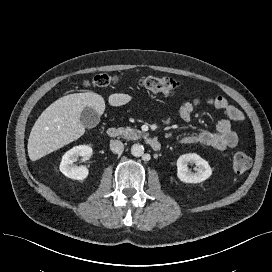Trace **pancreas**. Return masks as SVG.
<instances>
[{
  "mask_svg": "<svg viewBox=\"0 0 272 272\" xmlns=\"http://www.w3.org/2000/svg\"><path fill=\"white\" fill-rule=\"evenodd\" d=\"M120 135L127 140H138L143 134L140 130L132 129L130 127L119 128Z\"/></svg>",
  "mask_w": 272,
  "mask_h": 272,
  "instance_id": "pancreas-1",
  "label": "pancreas"
}]
</instances>
